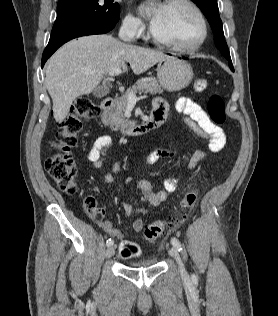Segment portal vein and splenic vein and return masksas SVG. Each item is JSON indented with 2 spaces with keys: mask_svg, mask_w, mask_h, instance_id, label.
Masks as SVG:
<instances>
[{
  "mask_svg": "<svg viewBox=\"0 0 278 316\" xmlns=\"http://www.w3.org/2000/svg\"><path fill=\"white\" fill-rule=\"evenodd\" d=\"M121 72H122L121 69L115 68V69H112L109 71V75L116 76V75L121 74ZM87 73H91V72H87ZM137 100H138V98H137L136 94L130 93L128 95V102L136 103Z\"/></svg>",
  "mask_w": 278,
  "mask_h": 316,
  "instance_id": "portal-vein-and-splenic-vein-1",
  "label": "portal vein and splenic vein"
}]
</instances>
